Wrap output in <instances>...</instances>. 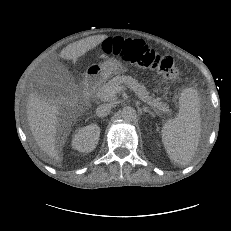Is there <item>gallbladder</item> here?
Returning <instances> with one entry per match:
<instances>
[{"label": "gallbladder", "instance_id": "gallbladder-1", "mask_svg": "<svg viewBox=\"0 0 231 231\" xmlns=\"http://www.w3.org/2000/svg\"><path fill=\"white\" fill-rule=\"evenodd\" d=\"M53 68L57 71L58 75H51L49 81L41 85L40 94L48 100H61L66 95L65 87L72 82L73 79L69 71L61 64L54 63Z\"/></svg>", "mask_w": 231, "mask_h": 231}]
</instances>
